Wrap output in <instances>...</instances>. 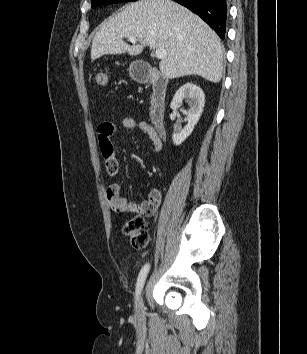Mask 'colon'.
I'll return each instance as SVG.
<instances>
[{
	"instance_id": "1",
	"label": "colon",
	"mask_w": 307,
	"mask_h": 354,
	"mask_svg": "<svg viewBox=\"0 0 307 354\" xmlns=\"http://www.w3.org/2000/svg\"><path fill=\"white\" fill-rule=\"evenodd\" d=\"M94 80L99 86H106L108 83V72L105 69H99L94 73ZM102 146L108 145L107 142H102ZM118 212H127L117 206ZM124 234L129 238L130 244L135 249H143L149 243V235L145 230V219L142 215H136L128 218L123 226Z\"/></svg>"
}]
</instances>
